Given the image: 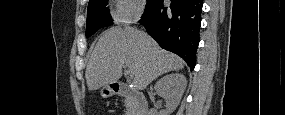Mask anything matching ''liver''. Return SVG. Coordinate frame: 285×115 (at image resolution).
Listing matches in <instances>:
<instances>
[{"mask_svg": "<svg viewBox=\"0 0 285 115\" xmlns=\"http://www.w3.org/2000/svg\"><path fill=\"white\" fill-rule=\"evenodd\" d=\"M124 66L134 77V88L144 90L157 77L184 68V61L136 28L112 27L101 35L87 64L88 89L115 83Z\"/></svg>", "mask_w": 285, "mask_h": 115, "instance_id": "1", "label": "liver"}]
</instances>
